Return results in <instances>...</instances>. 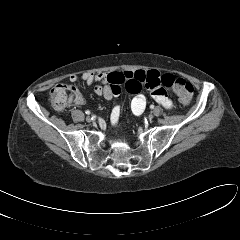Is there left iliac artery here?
<instances>
[{
    "label": "left iliac artery",
    "mask_w": 240,
    "mask_h": 240,
    "mask_svg": "<svg viewBox=\"0 0 240 240\" xmlns=\"http://www.w3.org/2000/svg\"><path fill=\"white\" fill-rule=\"evenodd\" d=\"M150 108H151V109H154V105H151Z\"/></svg>",
    "instance_id": "obj_1"
}]
</instances>
